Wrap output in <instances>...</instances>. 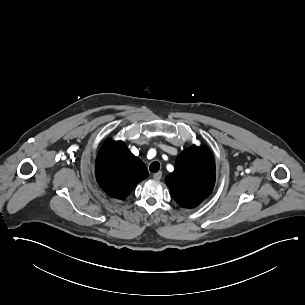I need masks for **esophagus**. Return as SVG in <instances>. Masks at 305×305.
Segmentation results:
<instances>
[{"label":"esophagus","mask_w":305,"mask_h":305,"mask_svg":"<svg viewBox=\"0 0 305 305\" xmlns=\"http://www.w3.org/2000/svg\"><path fill=\"white\" fill-rule=\"evenodd\" d=\"M162 178V172L160 171V172H158V173H155L154 175H153V179L154 180H160Z\"/></svg>","instance_id":"esophagus-1"}]
</instances>
